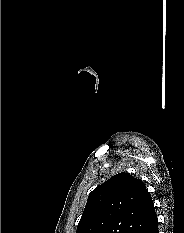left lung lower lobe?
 <instances>
[{
    "label": "left lung lower lobe",
    "instance_id": "obj_1",
    "mask_svg": "<svg viewBox=\"0 0 184 233\" xmlns=\"http://www.w3.org/2000/svg\"><path fill=\"white\" fill-rule=\"evenodd\" d=\"M140 233H159L158 220L155 213V207L152 205L145 225Z\"/></svg>",
    "mask_w": 184,
    "mask_h": 233
}]
</instances>
